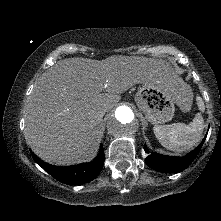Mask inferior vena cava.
<instances>
[{
	"instance_id": "obj_1",
	"label": "inferior vena cava",
	"mask_w": 221,
	"mask_h": 221,
	"mask_svg": "<svg viewBox=\"0 0 221 221\" xmlns=\"http://www.w3.org/2000/svg\"><path fill=\"white\" fill-rule=\"evenodd\" d=\"M106 111L107 110L105 108L101 109L100 111L97 112V117L102 119L103 116L105 115Z\"/></svg>"
}]
</instances>
